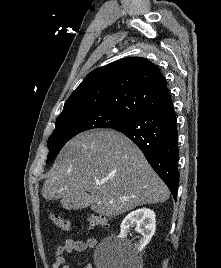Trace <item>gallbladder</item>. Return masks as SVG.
<instances>
[{"mask_svg": "<svg viewBox=\"0 0 221 268\" xmlns=\"http://www.w3.org/2000/svg\"><path fill=\"white\" fill-rule=\"evenodd\" d=\"M86 202V199H64V202H60V207H67L68 210H81L88 207Z\"/></svg>", "mask_w": 221, "mask_h": 268, "instance_id": "obj_1", "label": "gallbladder"}]
</instances>
